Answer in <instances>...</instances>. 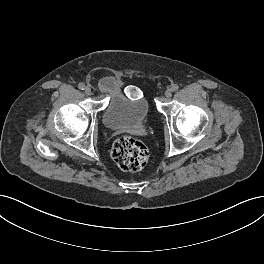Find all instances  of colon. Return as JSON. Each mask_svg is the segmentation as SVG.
<instances>
[{
	"instance_id": "obj_1",
	"label": "colon",
	"mask_w": 264,
	"mask_h": 264,
	"mask_svg": "<svg viewBox=\"0 0 264 264\" xmlns=\"http://www.w3.org/2000/svg\"><path fill=\"white\" fill-rule=\"evenodd\" d=\"M112 157L122 170L137 172L146 166L149 152L140 140L123 136L115 141L112 148Z\"/></svg>"
}]
</instances>
